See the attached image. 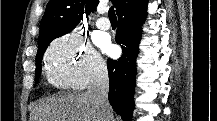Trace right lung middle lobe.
I'll list each match as a JSON object with an SVG mask.
<instances>
[{
	"mask_svg": "<svg viewBox=\"0 0 217 121\" xmlns=\"http://www.w3.org/2000/svg\"><path fill=\"white\" fill-rule=\"evenodd\" d=\"M51 41L45 43L44 45L38 47V52H37V55H36V76L37 78L39 77L40 75V72H41V61H42V57H43V54L47 48V46L49 45Z\"/></svg>",
	"mask_w": 217,
	"mask_h": 121,
	"instance_id": "right-lung-middle-lobe-1",
	"label": "right lung middle lobe"
}]
</instances>
